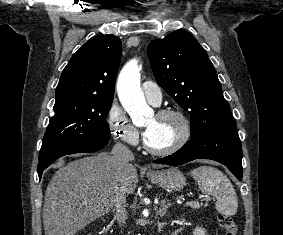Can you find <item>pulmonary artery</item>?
<instances>
[{
  "instance_id": "obj_1",
  "label": "pulmonary artery",
  "mask_w": 283,
  "mask_h": 235,
  "mask_svg": "<svg viewBox=\"0 0 283 235\" xmlns=\"http://www.w3.org/2000/svg\"><path fill=\"white\" fill-rule=\"evenodd\" d=\"M142 91L146 99L153 105H159L162 100V91L160 87L152 81L142 83Z\"/></svg>"
}]
</instances>
